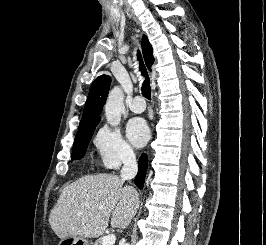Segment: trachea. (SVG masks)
Returning a JSON list of instances; mask_svg holds the SVG:
<instances>
[{
    "instance_id": "trachea-1",
    "label": "trachea",
    "mask_w": 266,
    "mask_h": 245,
    "mask_svg": "<svg viewBox=\"0 0 266 245\" xmlns=\"http://www.w3.org/2000/svg\"><path fill=\"white\" fill-rule=\"evenodd\" d=\"M138 58L140 60V70L142 71V74L145 78L144 83L142 85V95L147 98L148 100H151V88H150V80L146 71V68L143 64L142 58L140 53H138Z\"/></svg>"
}]
</instances>
